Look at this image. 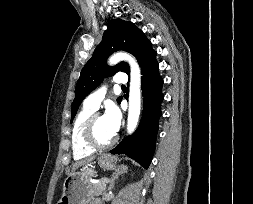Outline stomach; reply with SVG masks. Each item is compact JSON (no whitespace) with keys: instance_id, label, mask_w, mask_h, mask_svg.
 <instances>
[{"instance_id":"stomach-1","label":"stomach","mask_w":253,"mask_h":204,"mask_svg":"<svg viewBox=\"0 0 253 204\" xmlns=\"http://www.w3.org/2000/svg\"><path fill=\"white\" fill-rule=\"evenodd\" d=\"M98 164L104 170H114L117 168V158L102 154ZM95 176L96 171L91 165L69 173L63 182V194L57 204H90L96 195L89 180Z\"/></svg>"}]
</instances>
